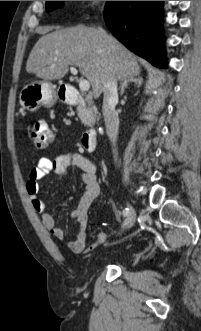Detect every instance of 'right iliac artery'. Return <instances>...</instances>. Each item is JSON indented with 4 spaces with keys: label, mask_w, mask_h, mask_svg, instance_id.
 I'll return each instance as SVG.
<instances>
[{
    "label": "right iliac artery",
    "mask_w": 201,
    "mask_h": 331,
    "mask_svg": "<svg viewBox=\"0 0 201 331\" xmlns=\"http://www.w3.org/2000/svg\"><path fill=\"white\" fill-rule=\"evenodd\" d=\"M128 214H129V210H128V208L124 209V210H123V215H124V216H127Z\"/></svg>",
    "instance_id": "right-iliac-artery-1"
}]
</instances>
